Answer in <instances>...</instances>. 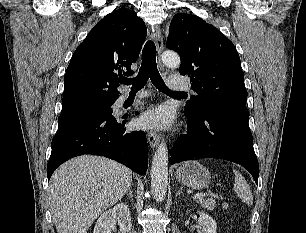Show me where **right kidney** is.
<instances>
[{
    "label": "right kidney",
    "mask_w": 306,
    "mask_h": 233,
    "mask_svg": "<svg viewBox=\"0 0 306 233\" xmlns=\"http://www.w3.org/2000/svg\"><path fill=\"white\" fill-rule=\"evenodd\" d=\"M117 222L121 233H128L131 230L130 211L124 203L117 204L112 209L105 211L98 218L93 233H111Z\"/></svg>",
    "instance_id": "ca27d5eb"
}]
</instances>
